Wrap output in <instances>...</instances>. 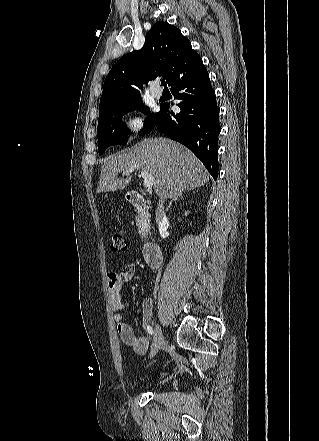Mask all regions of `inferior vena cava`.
I'll return each mask as SVG.
<instances>
[{
	"instance_id": "obj_1",
	"label": "inferior vena cava",
	"mask_w": 319,
	"mask_h": 441,
	"mask_svg": "<svg viewBox=\"0 0 319 441\" xmlns=\"http://www.w3.org/2000/svg\"><path fill=\"white\" fill-rule=\"evenodd\" d=\"M165 220H167V218L164 213V207L162 202H159L158 207L156 209V221L165 222Z\"/></svg>"
}]
</instances>
